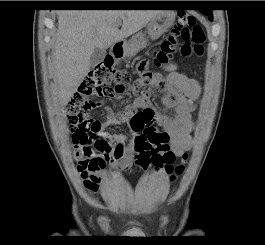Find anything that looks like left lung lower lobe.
I'll return each mask as SVG.
<instances>
[{"mask_svg":"<svg viewBox=\"0 0 265 245\" xmlns=\"http://www.w3.org/2000/svg\"><path fill=\"white\" fill-rule=\"evenodd\" d=\"M203 14L205 15H209V20H211V13L209 12V10H200Z\"/></svg>","mask_w":265,"mask_h":245,"instance_id":"0a47b994","label":"left lung lower lobe"}]
</instances>
